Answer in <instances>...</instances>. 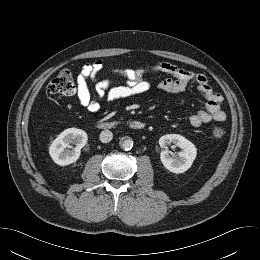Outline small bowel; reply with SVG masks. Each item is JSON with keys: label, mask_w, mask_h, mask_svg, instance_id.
Returning a JSON list of instances; mask_svg holds the SVG:
<instances>
[{"label": "small bowel", "mask_w": 260, "mask_h": 260, "mask_svg": "<svg viewBox=\"0 0 260 260\" xmlns=\"http://www.w3.org/2000/svg\"><path fill=\"white\" fill-rule=\"evenodd\" d=\"M104 70V64L98 60L82 66L76 78L77 97L81 106L89 113H98L101 100L111 103L121 98L135 97L149 91L150 85L144 80L150 73H165L171 78L162 80L157 88L164 93H180L185 91L191 82L197 84L198 90L206 98L205 109L199 110L189 117L193 127H199L211 120L223 122L226 113L222 110L223 97L210 86L205 75L194 73L176 64L159 62L153 65L131 69H114L112 74L121 78L122 83L104 78L96 82L94 92L89 88V80L96 79Z\"/></svg>", "instance_id": "1"}]
</instances>
